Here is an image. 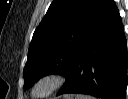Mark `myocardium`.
<instances>
[{
  "instance_id": "obj_1",
  "label": "myocardium",
  "mask_w": 128,
  "mask_h": 99,
  "mask_svg": "<svg viewBox=\"0 0 128 99\" xmlns=\"http://www.w3.org/2000/svg\"><path fill=\"white\" fill-rule=\"evenodd\" d=\"M67 82L66 74L62 72H50L42 75L33 84L31 94L33 97L44 98L51 96L58 89H60ZM42 85H46L47 88L44 92L39 93L38 88Z\"/></svg>"
}]
</instances>
